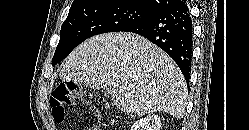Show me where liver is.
Masks as SVG:
<instances>
[{
	"label": "liver",
	"mask_w": 249,
	"mask_h": 130,
	"mask_svg": "<svg viewBox=\"0 0 249 130\" xmlns=\"http://www.w3.org/2000/svg\"><path fill=\"white\" fill-rule=\"evenodd\" d=\"M60 79L93 89L109 87L113 103L132 116L185 114L187 87L180 69L137 34L105 33L87 39L67 57Z\"/></svg>",
	"instance_id": "liver-1"
}]
</instances>
